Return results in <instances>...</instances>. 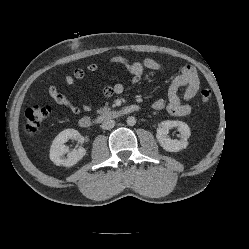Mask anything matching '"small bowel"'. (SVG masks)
<instances>
[{"label": "small bowel", "instance_id": "small-bowel-1", "mask_svg": "<svg viewBox=\"0 0 249 249\" xmlns=\"http://www.w3.org/2000/svg\"><path fill=\"white\" fill-rule=\"evenodd\" d=\"M110 61L125 66L130 71L133 83H138L141 80L145 69L156 72H162L166 69L163 64L150 58H146L142 61L130 62L124 57L114 56ZM98 69L99 65L97 63H89L86 66V70L89 72H96ZM85 76L86 71L84 69L76 68L71 75L64 76V81L69 86H75L76 81L84 79ZM199 85L200 81L196 69L190 65L184 66L181 69V73L171 81L168 89V99H156L152 102L151 106L156 111L167 110L174 116L189 117L192 113L189 101L197 94ZM182 87H185V90L180 96L179 90ZM123 91L124 85L120 82L105 86L102 89L105 97L119 95ZM49 94L57 104L66 107L74 114H80L82 110H91V106L85 102H81L80 106L74 104L67 96L61 93L55 85L49 87Z\"/></svg>", "mask_w": 249, "mask_h": 249}]
</instances>
